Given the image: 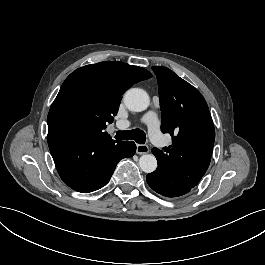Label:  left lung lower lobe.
<instances>
[{
    "mask_svg": "<svg viewBox=\"0 0 265 265\" xmlns=\"http://www.w3.org/2000/svg\"><path fill=\"white\" fill-rule=\"evenodd\" d=\"M146 181L155 192L166 197H179L194 188L161 166H158L154 172L148 174Z\"/></svg>",
    "mask_w": 265,
    "mask_h": 265,
    "instance_id": "obj_1",
    "label": "left lung lower lobe"
}]
</instances>
